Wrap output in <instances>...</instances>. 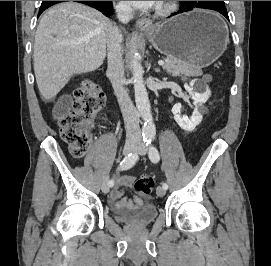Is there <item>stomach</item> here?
<instances>
[{"instance_id":"stomach-1","label":"stomach","mask_w":271,"mask_h":266,"mask_svg":"<svg viewBox=\"0 0 271 266\" xmlns=\"http://www.w3.org/2000/svg\"><path fill=\"white\" fill-rule=\"evenodd\" d=\"M160 53L203 68L225 51L229 37L226 24L216 13L195 10L159 23L146 34Z\"/></svg>"}]
</instances>
